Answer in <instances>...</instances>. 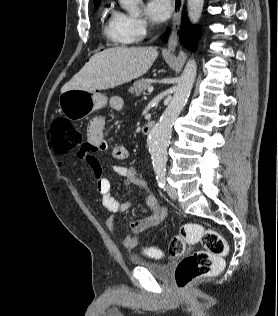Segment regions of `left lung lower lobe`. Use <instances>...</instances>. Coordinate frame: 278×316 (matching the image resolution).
Masks as SVG:
<instances>
[{
  "label": "left lung lower lobe",
  "mask_w": 278,
  "mask_h": 316,
  "mask_svg": "<svg viewBox=\"0 0 278 316\" xmlns=\"http://www.w3.org/2000/svg\"><path fill=\"white\" fill-rule=\"evenodd\" d=\"M181 43L188 49L194 51L198 40V28L190 24L184 16L182 18V32L180 33Z\"/></svg>",
  "instance_id": "obj_1"
}]
</instances>
